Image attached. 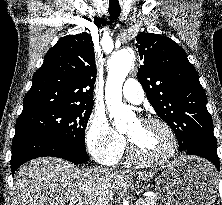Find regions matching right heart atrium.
<instances>
[{
  "label": "right heart atrium",
  "mask_w": 222,
  "mask_h": 205,
  "mask_svg": "<svg viewBox=\"0 0 222 205\" xmlns=\"http://www.w3.org/2000/svg\"><path fill=\"white\" fill-rule=\"evenodd\" d=\"M85 139L90 154L104 165L115 163L125 149V139L100 112L91 115L86 126Z\"/></svg>",
  "instance_id": "obj_1"
}]
</instances>
